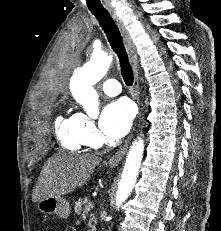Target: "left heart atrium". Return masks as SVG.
Wrapping results in <instances>:
<instances>
[{
  "mask_svg": "<svg viewBox=\"0 0 221 231\" xmlns=\"http://www.w3.org/2000/svg\"><path fill=\"white\" fill-rule=\"evenodd\" d=\"M133 118L132 104L127 100L119 99L105 106L99 119V127L105 135L121 138L130 130Z\"/></svg>",
  "mask_w": 221,
  "mask_h": 231,
  "instance_id": "obj_1",
  "label": "left heart atrium"
}]
</instances>
